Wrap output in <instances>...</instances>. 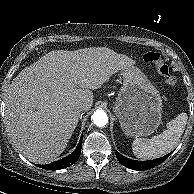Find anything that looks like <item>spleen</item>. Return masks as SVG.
<instances>
[{
    "mask_svg": "<svg viewBox=\"0 0 194 194\" xmlns=\"http://www.w3.org/2000/svg\"><path fill=\"white\" fill-rule=\"evenodd\" d=\"M187 120V114L182 112L167 123V129L163 133L147 140L136 138L132 143L134 155L142 160H149L171 152L178 145Z\"/></svg>",
    "mask_w": 194,
    "mask_h": 194,
    "instance_id": "3e777b00",
    "label": "spleen"
}]
</instances>
